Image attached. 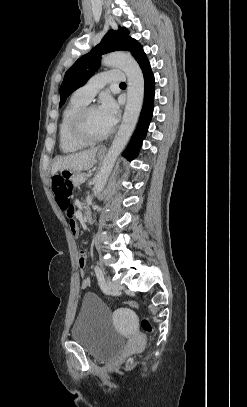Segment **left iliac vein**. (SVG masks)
<instances>
[{"label":"left iliac vein","mask_w":247,"mask_h":407,"mask_svg":"<svg viewBox=\"0 0 247 407\" xmlns=\"http://www.w3.org/2000/svg\"><path fill=\"white\" fill-rule=\"evenodd\" d=\"M106 283L113 293H119L123 289V286L119 282L108 280Z\"/></svg>","instance_id":"left-iliac-vein-1"}]
</instances>
